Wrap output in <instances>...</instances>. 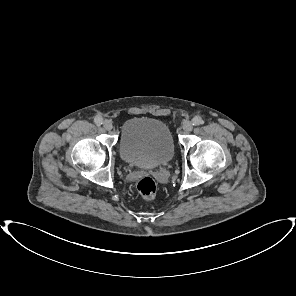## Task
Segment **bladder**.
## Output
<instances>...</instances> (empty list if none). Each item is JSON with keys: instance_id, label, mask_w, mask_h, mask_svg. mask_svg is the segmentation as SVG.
I'll use <instances>...</instances> for the list:
<instances>
[{"instance_id": "obj_1", "label": "bladder", "mask_w": 296, "mask_h": 296, "mask_svg": "<svg viewBox=\"0 0 296 296\" xmlns=\"http://www.w3.org/2000/svg\"><path fill=\"white\" fill-rule=\"evenodd\" d=\"M122 160L135 167L152 169L166 165L174 155V141L168 125L157 119L127 120L119 139Z\"/></svg>"}]
</instances>
